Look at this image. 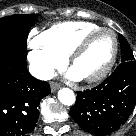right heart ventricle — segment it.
Segmentation results:
<instances>
[{"mask_svg":"<svg viewBox=\"0 0 136 136\" xmlns=\"http://www.w3.org/2000/svg\"><path fill=\"white\" fill-rule=\"evenodd\" d=\"M99 29L100 26L91 22L69 21L54 25L44 34L50 45L68 56L85 36Z\"/></svg>","mask_w":136,"mask_h":136,"instance_id":"obj_1","label":"right heart ventricle"}]
</instances>
